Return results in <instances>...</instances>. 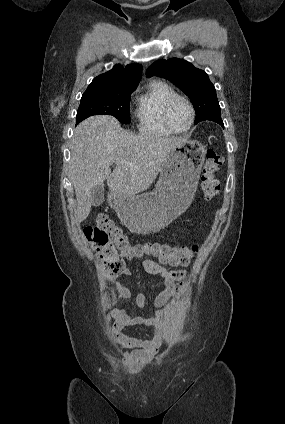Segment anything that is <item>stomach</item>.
Masks as SVG:
<instances>
[{
	"mask_svg": "<svg viewBox=\"0 0 285 424\" xmlns=\"http://www.w3.org/2000/svg\"><path fill=\"white\" fill-rule=\"evenodd\" d=\"M204 160L205 148L197 141H186L171 152L154 191L131 197L111 194L109 204L131 231H159L192 203Z\"/></svg>",
	"mask_w": 285,
	"mask_h": 424,
	"instance_id": "obj_1",
	"label": "stomach"
}]
</instances>
